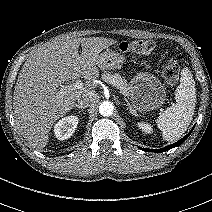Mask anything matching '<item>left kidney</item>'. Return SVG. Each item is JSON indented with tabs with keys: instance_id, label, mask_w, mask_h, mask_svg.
Here are the masks:
<instances>
[{
	"instance_id": "obj_1",
	"label": "left kidney",
	"mask_w": 212,
	"mask_h": 212,
	"mask_svg": "<svg viewBox=\"0 0 212 212\" xmlns=\"http://www.w3.org/2000/svg\"><path fill=\"white\" fill-rule=\"evenodd\" d=\"M137 125H138V127L144 132V133H151L152 131H153V129H152V127H151V125H149V124H145V123H143V122H138L137 123Z\"/></svg>"
}]
</instances>
